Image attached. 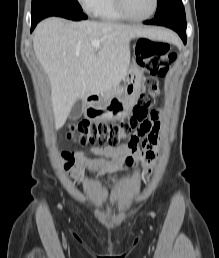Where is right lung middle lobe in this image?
<instances>
[{
    "mask_svg": "<svg viewBox=\"0 0 219 258\" xmlns=\"http://www.w3.org/2000/svg\"><path fill=\"white\" fill-rule=\"evenodd\" d=\"M55 7L72 8L82 12L77 0H32L31 18L36 19L42 13Z\"/></svg>",
    "mask_w": 219,
    "mask_h": 258,
    "instance_id": "obj_1",
    "label": "right lung middle lobe"
}]
</instances>
